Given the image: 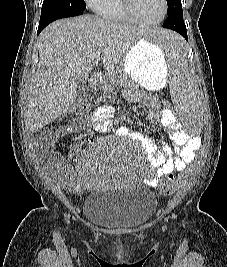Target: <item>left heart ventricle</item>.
<instances>
[{
	"mask_svg": "<svg viewBox=\"0 0 227 267\" xmlns=\"http://www.w3.org/2000/svg\"><path fill=\"white\" fill-rule=\"evenodd\" d=\"M137 14L146 21L158 20L163 13L162 0H135Z\"/></svg>",
	"mask_w": 227,
	"mask_h": 267,
	"instance_id": "obj_1",
	"label": "left heart ventricle"
}]
</instances>
